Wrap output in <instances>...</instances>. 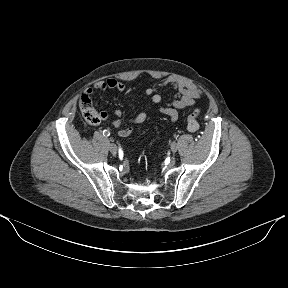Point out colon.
Instances as JSON below:
<instances>
[{"label": "colon", "mask_w": 288, "mask_h": 288, "mask_svg": "<svg viewBox=\"0 0 288 288\" xmlns=\"http://www.w3.org/2000/svg\"><path fill=\"white\" fill-rule=\"evenodd\" d=\"M80 110L84 119L90 124H98L103 120L102 114L97 112L91 103V99L87 95H83L80 99ZM200 109H194L187 119V128L190 132H197L199 130L198 117Z\"/></svg>", "instance_id": "obj_1"}]
</instances>
